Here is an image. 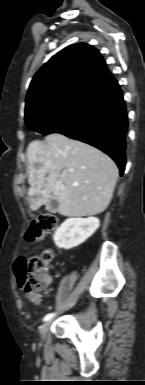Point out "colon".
<instances>
[{"instance_id": "colon-1", "label": "colon", "mask_w": 145, "mask_h": 385, "mask_svg": "<svg viewBox=\"0 0 145 385\" xmlns=\"http://www.w3.org/2000/svg\"><path fill=\"white\" fill-rule=\"evenodd\" d=\"M57 224L58 219L55 215L41 214L28 227L25 240L29 243L41 241L56 229ZM52 258L53 253L50 250H44L41 254L19 259L15 265L19 288L27 299L35 304L42 301L50 284L47 267Z\"/></svg>"}]
</instances>
